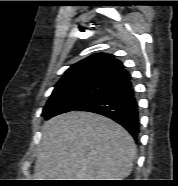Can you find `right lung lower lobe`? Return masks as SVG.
Wrapping results in <instances>:
<instances>
[{
  "label": "right lung lower lobe",
  "instance_id": "1",
  "mask_svg": "<svg viewBox=\"0 0 178 186\" xmlns=\"http://www.w3.org/2000/svg\"><path fill=\"white\" fill-rule=\"evenodd\" d=\"M77 110L106 116L122 125L135 139L139 135V108L130 77L113 83Z\"/></svg>",
  "mask_w": 178,
  "mask_h": 186
}]
</instances>
